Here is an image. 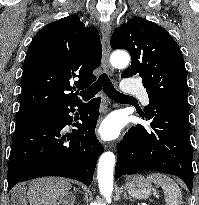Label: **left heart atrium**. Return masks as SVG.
I'll use <instances>...</instances> for the list:
<instances>
[{
  "mask_svg": "<svg viewBox=\"0 0 199 205\" xmlns=\"http://www.w3.org/2000/svg\"><path fill=\"white\" fill-rule=\"evenodd\" d=\"M122 128V123L117 116L111 115L102 121L98 128V133L104 140L116 138Z\"/></svg>",
  "mask_w": 199,
  "mask_h": 205,
  "instance_id": "39dd6f15",
  "label": "left heart atrium"
}]
</instances>
